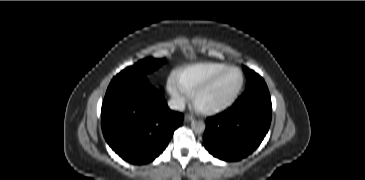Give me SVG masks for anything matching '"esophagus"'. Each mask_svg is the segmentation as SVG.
I'll use <instances>...</instances> for the list:
<instances>
[{"label": "esophagus", "mask_w": 365, "mask_h": 180, "mask_svg": "<svg viewBox=\"0 0 365 180\" xmlns=\"http://www.w3.org/2000/svg\"><path fill=\"white\" fill-rule=\"evenodd\" d=\"M194 119V117L192 116V115H190V114H186L185 115V117H184V120L186 121V122H190V121H192Z\"/></svg>", "instance_id": "1"}]
</instances>
